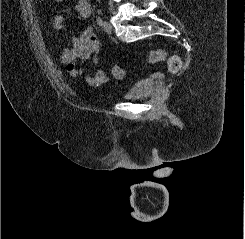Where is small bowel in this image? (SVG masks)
Returning a JSON list of instances; mask_svg holds the SVG:
<instances>
[{
	"label": "small bowel",
	"instance_id": "obj_1",
	"mask_svg": "<svg viewBox=\"0 0 245 239\" xmlns=\"http://www.w3.org/2000/svg\"><path fill=\"white\" fill-rule=\"evenodd\" d=\"M55 3H62L64 0H54ZM77 12L83 18L90 17L92 7L89 0H78ZM65 18L62 14H56L52 18V25L57 32H63ZM99 41L94 30L89 27L79 36L72 38L71 46L66 47L62 54L61 60L67 65L68 73L72 78L84 76V82L90 87H100L109 81V76L99 67ZM89 63L90 68L81 64Z\"/></svg>",
	"mask_w": 245,
	"mask_h": 239
}]
</instances>
